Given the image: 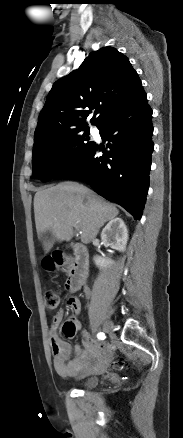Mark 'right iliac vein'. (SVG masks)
Masks as SVG:
<instances>
[{"label": "right iliac vein", "mask_w": 183, "mask_h": 438, "mask_svg": "<svg viewBox=\"0 0 183 438\" xmlns=\"http://www.w3.org/2000/svg\"><path fill=\"white\" fill-rule=\"evenodd\" d=\"M112 328H113V326H112V323H111V322H106V323L103 325V330H104L106 333L112 334Z\"/></svg>", "instance_id": "63e3f726"}]
</instances>
